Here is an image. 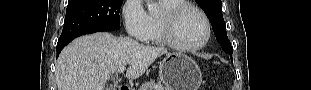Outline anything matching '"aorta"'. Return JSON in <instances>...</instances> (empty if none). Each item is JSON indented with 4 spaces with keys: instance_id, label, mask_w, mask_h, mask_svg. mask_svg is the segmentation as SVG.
Here are the masks:
<instances>
[{
    "instance_id": "1",
    "label": "aorta",
    "mask_w": 311,
    "mask_h": 90,
    "mask_svg": "<svg viewBox=\"0 0 311 90\" xmlns=\"http://www.w3.org/2000/svg\"><path fill=\"white\" fill-rule=\"evenodd\" d=\"M147 3V8L150 13H154L158 10V5L154 1L148 0Z\"/></svg>"
}]
</instances>
